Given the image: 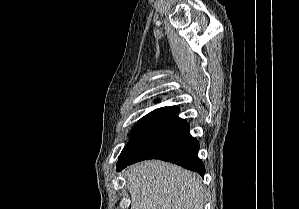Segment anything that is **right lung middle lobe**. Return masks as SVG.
Returning a JSON list of instances; mask_svg holds the SVG:
<instances>
[{
    "label": "right lung middle lobe",
    "mask_w": 299,
    "mask_h": 209,
    "mask_svg": "<svg viewBox=\"0 0 299 209\" xmlns=\"http://www.w3.org/2000/svg\"><path fill=\"white\" fill-rule=\"evenodd\" d=\"M154 111H152L151 113L145 115L144 117H142L138 123L135 125V127L133 128L131 135L132 137L143 127V125L147 122V120L151 117V115L153 114Z\"/></svg>",
    "instance_id": "1"
}]
</instances>
